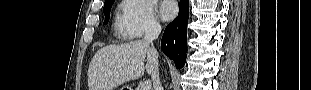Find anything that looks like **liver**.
<instances>
[{
	"instance_id": "obj_1",
	"label": "liver",
	"mask_w": 311,
	"mask_h": 90,
	"mask_svg": "<svg viewBox=\"0 0 311 90\" xmlns=\"http://www.w3.org/2000/svg\"><path fill=\"white\" fill-rule=\"evenodd\" d=\"M157 63L156 49L144 40L105 46L90 62L89 90H114L127 81L142 77L145 71L151 74Z\"/></svg>"
}]
</instances>
